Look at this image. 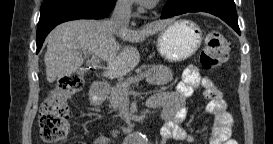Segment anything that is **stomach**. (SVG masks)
Wrapping results in <instances>:
<instances>
[{"label": "stomach", "mask_w": 273, "mask_h": 144, "mask_svg": "<svg viewBox=\"0 0 273 144\" xmlns=\"http://www.w3.org/2000/svg\"><path fill=\"white\" fill-rule=\"evenodd\" d=\"M202 31L190 20H178L164 28L157 38V49L161 56L171 62L191 57L202 43ZM100 95H92L91 102L99 104Z\"/></svg>", "instance_id": "0dacf381"}]
</instances>
